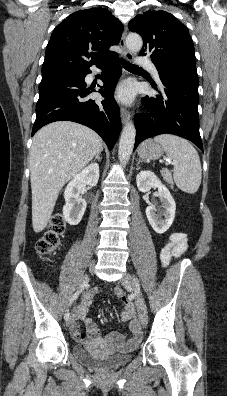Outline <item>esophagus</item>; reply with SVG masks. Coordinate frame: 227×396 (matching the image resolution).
I'll use <instances>...</instances> for the list:
<instances>
[{"mask_svg":"<svg viewBox=\"0 0 227 396\" xmlns=\"http://www.w3.org/2000/svg\"><path fill=\"white\" fill-rule=\"evenodd\" d=\"M126 34H127V29L125 28L123 33H122V37L120 39V43L119 44H120V47H121V49L123 51L124 58L126 60H128V61H132L134 56L126 47V41H125L126 40ZM120 115H121V120H122L123 123H126L129 120V118H130V112L124 107L121 108Z\"/></svg>","mask_w":227,"mask_h":396,"instance_id":"1","label":"esophagus"}]
</instances>
